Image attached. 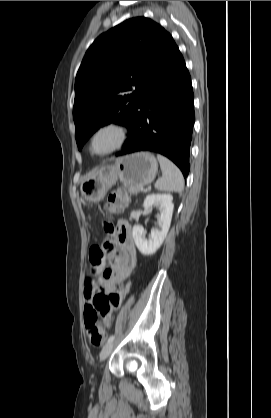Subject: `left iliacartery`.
<instances>
[{
    "label": "left iliac artery",
    "instance_id": "1",
    "mask_svg": "<svg viewBox=\"0 0 271 418\" xmlns=\"http://www.w3.org/2000/svg\"><path fill=\"white\" fill-rule=\"evenodd\" d=\"M114 339H115V335H111V336L108 338L107 343H111V342H113V341H114Z\"/></svg>",
    "mask_w": 271,
    "mask_h": 418
}]
</instances>
